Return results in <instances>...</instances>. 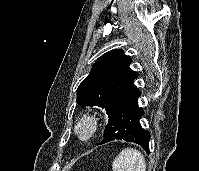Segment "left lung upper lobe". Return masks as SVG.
Masks as SVG:
<instances>
[{"label": "left lung upper lobe", "instance_id": "obj_1", "mask_svg": "<svg viewBox=\"0 0 199 171\" xmlns=\"http://www.w3.org/2000/svg\"><path fill=\"white\" fill-rule=\"evenodd\" d=\"M132 59L121 49L103 54L77 89L80 106H100L110 116L137 87V74L129 67Z\"/></svg>", "mask_w": 199, "mask_h": 171}]
</instances>
